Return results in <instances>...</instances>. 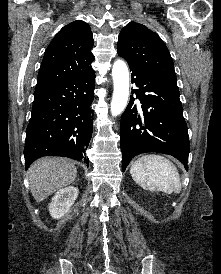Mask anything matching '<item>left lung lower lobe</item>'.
<instances>
[{"instance_id": "obj_1", "label": "left lung lower lobe", "mask_w": 221, "mask_h": 274, "mask_svg": "<svg viewBox=\"0 0 221 274\" xmlns=\"http://www.w3.org/2000/svg\"><path fill=\"white\" fill-rule=\"evenodd\" d=\"M125 60L137 88L120 122L123 171L134 156L146 152L172 155L187 170L190 143L176 82Z\"/></svg>"}]
</instances>
